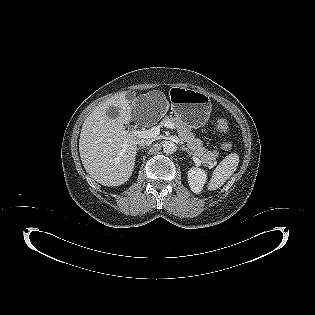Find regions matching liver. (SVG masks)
<instances>
[{
	"instance_id": "liver-1",
	"label": "liver",
	"mask_w": 315,
	"mask_h": 315,
	"mask_svg": "<svg viewBox=\"0 0 315 315\" xmlns=\"http://www.w3.org/2000/svg\"><path fill=\"white\" fill-rule=\"evenodd\" d=\"M111 106L118 109L116 119L106 114ZM131 111L130 101L122 93L97 105L82 125L79 139L82 164L90 177L104 186L124 184L134 170L139 139L125 130Z\"/></svg>"
}]
</instances>
